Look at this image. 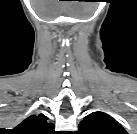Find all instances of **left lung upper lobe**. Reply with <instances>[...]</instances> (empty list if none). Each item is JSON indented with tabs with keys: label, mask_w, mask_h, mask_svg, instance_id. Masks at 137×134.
Here are the masks:
<instances>
[{
	"label": "left lung upper lobe",
	"mask_w": 137,
	"mask_h": 134,
	"mask_svg": "<svg viewBox=\"0 0 137 134\" xmlns=\"http://www.w3.org/2000/svg\"><path fill=\"white\" fill-rule=\"evenodd\" d=\"M78 129V134H127L114 118L103 112L88 114Z\"/></svg>",
	"instance_id": "left-lung-upper-lobe-1"
}]
</instances>
